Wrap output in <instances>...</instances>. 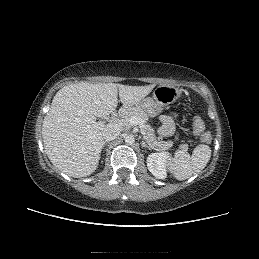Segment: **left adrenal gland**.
<instances>
[{
	"instance_id": "obj_1",
	"label": "left adrenal gland",
	"mask_w": 259,
	"mask_h": 259,
	"mask_svg": "<svg viewBox=\"0 0 259 259\" xmlns=\"http://www.w3.org/2000/svg\"><path fill=\"white\" fill-rule=\"evenodd\" d=\"M141 146H142V147H145V148H148L149 150H151V147H150L149 145H147L145 141H142V142H141Z\"/></svg>"
}]
</instances>
